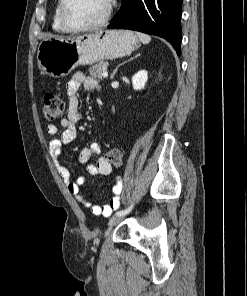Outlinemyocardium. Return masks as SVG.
<instances>
[{
  "label": "myocardium",
  "instance_id": "myocardium-1",
  "mask_svg": "<svg viewBox=\"0 0 247 296\" xmlns=\"http://www.w3.org/2000/svg\"><path fill=\"white\" fill-rule=\"evenodd\" d=\"M70 0H61L60 8H59V17H60V23L63 26V28L68 32H86V31H93L100 28L105 27L113 13V0H107V10L104 15V17L98 21L97 23L86 25V26H76L73 25L67 16V9L69 6Z\"/></svg>",
  "mask_w": 247,
  "mask_h": 296
}]
</instances>
